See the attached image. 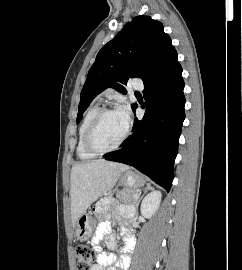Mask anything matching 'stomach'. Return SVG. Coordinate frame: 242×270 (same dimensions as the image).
I'll use <instances>...</instances> for the list:
<instances>
[{"mask_svg":"<svg viewBox=\"0 0 242 270\" xmlns=\"http://www.w3.org/2000/svg\"><path fill=\"white\" fill-rule=\"evenodd\" d=\"M120 183L131 191L139 192V189L145 184L144 178L134 171L126 170L120 177ZM92 218L83 214L76 222L74 226V236L77 240L83 242L87 241L92 235L93 231Z\"/></svg>","mask_w":242,"mask_h":270,"instance_id":"obj_1","label":"stomach"}]
</instances>
